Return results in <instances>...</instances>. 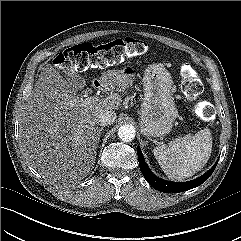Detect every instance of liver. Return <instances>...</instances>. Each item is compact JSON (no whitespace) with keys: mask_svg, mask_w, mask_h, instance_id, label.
<instances>
[{"mask_svg":"<svg viewBox=\"0 0 241 241\" xmlns=\"http://www.w3.org/2000/svg\"><path fill=\"white\" fill-rule=\"evenodd\" d=\"M70 77L65 79L51 64L43 67L20 118L23 154L51 184L68 185L88 175L96 159V116L121 104L117 93L100 101L79 97L74 74ZM105 86L122 88L112 75Z\"/></svg>","mask_w":241,"mask_h":241,"instance_id":"6515ba94","label":"liver"}]
</instances>
